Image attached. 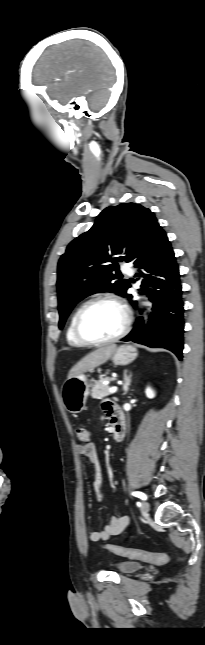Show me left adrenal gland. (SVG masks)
<instances>
[{"mask_svg":"<svg viewBox=\"0 0 205 645\" xmlns=\"http://www.w3.org/2000/svg\"><path fill=\"white\" fill-rule=\"evenodd\" d=\"M123 376H124L123 395H125L127 394L129 390V386L131 384V375H127V370H125Z\"/></svg>","mask_w":205,"mask_h":645,"instance_id":"a2214340","label":"left adrenal gland"}]
</instances>
